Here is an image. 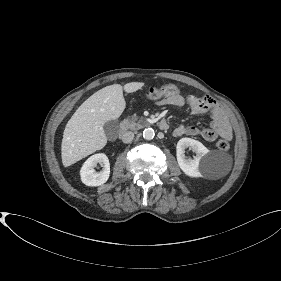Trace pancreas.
Wrapping results in <instances>:
<instances>
[{
    "instance_id": "pancreas-1",
    "label": "pancreas",
    "mask_w": 281,
    "mask_h": 281,
    "mask_svg": "<svg viewBox=\"0 0 281 281\" xmlns=\"http://www.w3.org/2000/svg\"><path fill=\"white\" fill-rule=\"evenodd\" d=\"M123 123L130 130H138L143 128L145 121L143 118L131 117L129 119H125Z\"/></svg>"
}]
</instances>
